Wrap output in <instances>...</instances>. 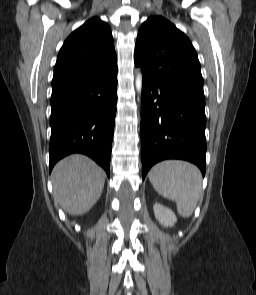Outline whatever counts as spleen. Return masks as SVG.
Here are the masks:
<instances>
[{
  "label": "spleen",
  "mask_w": 256,
  "mask_h": 295,
  "mask_svg": "<svg viewBox=\"0 0 256 295\" xmlns=\"http://www.w3.org/2000/svg\"><path fill=\"white\" fill-rule=\"evenodd\" d=\"M149 180L160 195L176 202L182 217L192 215L202 192V177L196 166L178 160L163 161L151 169Z\"/></svg>",
  "instance_id": "3e777b00"
}]
</instances>
